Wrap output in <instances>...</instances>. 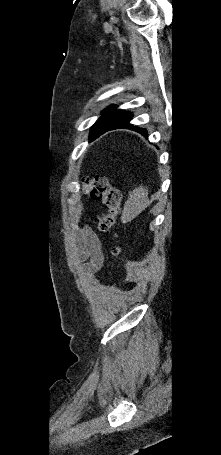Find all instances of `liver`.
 Segmentation results:
<instances>
[{
    "instance_id": "obj_1",
    "label": "liver",
    "mask_w": 221,
    "mask_h": 455,
    "mask_svg": "<svg viewBox=\"0 0 221 455\" xmlns=\"http://www.w3.org/2000/svg\"><path fill=\"white\" fill-rule=\"evenodd\" d=\"M150 204L148 199V189L142 184L135 187L129 192L128 199L126 200L122 215L121 222L127 223L138 216Z\"/></svg>"
}]
</instances>
